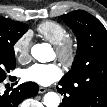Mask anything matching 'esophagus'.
Wrapping results in <instances>:
<instances>
[{"mask_svg":"<svg viewBox=\"0 0 107 107\" xmlns=\"http://www.w3.org/2000/svg\"><path fill=\"white\" fill-rule=\"evenodd\" d=\"M48 91V89L47 88H44V87H39V89H38V92L40 93V94H43V93H45V92H47Z\"/></svg>","mask_w":107,"mask_h":107,"instance_id":"obj_1","label":"esophagus"}]
</instances>
